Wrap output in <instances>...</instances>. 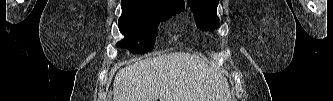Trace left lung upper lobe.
Here are the masks:
<instances>
[{"label": "left lung upper lobe", "mask_w": 333, "mask_h": 101, "mask_svg": "<svg viewBox=\"0 0 333 101\" xmlns=\"http://www.w3.org/2000/svg\"><path fill=\"white\" fill-rule=\"evenodd\" d=\"M191 11L194 12L197 26L203 30L213 31L217 28L219 18L216 9L219 0H188Z\"/></svg>", "instance_id": "1"}]
</instances>
